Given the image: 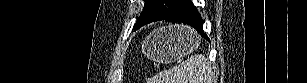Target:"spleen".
I'll return each instance as SVG.
<instances>
[{"mask_svg": "<svg viewBox=\"0 0 307 83\" xmlns=\"http://www.w3.org/2000/svg\"><path fill=\"white\" fill-rule=\"evenodd\" d=\"M212 77L211 64L204 55L198 54L159 72L148 83H212Z\"/></svg>", "mask_w": 307, "mask_h": 83, "instance_id": "obj_1", "label": "spleen"}]
</instances>
